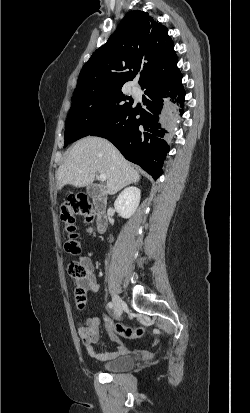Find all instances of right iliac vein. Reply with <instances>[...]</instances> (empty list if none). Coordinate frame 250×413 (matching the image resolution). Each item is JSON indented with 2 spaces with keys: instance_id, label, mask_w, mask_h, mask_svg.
Masks as SVG:
<instances>
[{
  "instance_id": "obj_1",
  "label": "right iliac vein",
  "mask_w": 250,
  "mask_h": 413,
  "mask_svg": "<svg viewBox=\"0 0 250 413\" xmlns=\"http://www.w3.org/2000/svg\"><path fill=\"white\" fill-rule=\"evenodd\" d=\"M114 312L117 317H120L123 312L124 302L118 295H113Z\"/></svg>"
}]
</instances>
